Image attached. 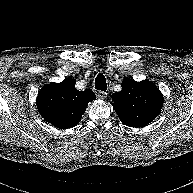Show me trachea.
I'll return each instance as SVG.
<instances>
[{
    "mask_svg": "<svg viewBox=\"0 0 193 193\" xmlns=\"http://www.w3.org/2000/svg\"><path fill=\"white\" fill-rule=\"evenodd\" d=\"M95 89L100 91H106L107 90V83L106 78L103 74H98L95 79Z\"/></svg>",
    "mask_w": 193,
    "mask_h": 193,
    "instance_id": "3493384b",
    "label": "trachea"
}]
</instances>
